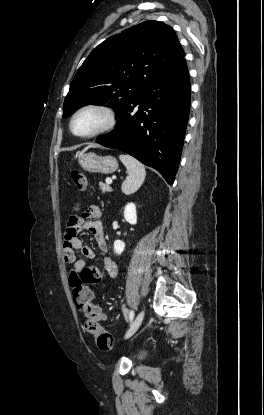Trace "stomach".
<instances>
[{"mask_svg": "<svg viewBox=\"0 0 264 415\" xmlns=\"http://www.w3.org/2000/svg\"><path fill=\"white\" fill-rule=\"evenodd\" d=\"M80 166L92 173L111 174L118 169V162L113 156H99L95 153H81L78 156Z\"/></svg>", "mask_w": 264, "mask_h": 415, "instance_id": "obj_1", "label": "stomach"}]
</instances>
